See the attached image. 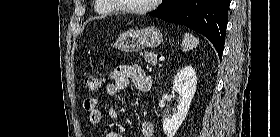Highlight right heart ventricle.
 I'll return each mask as SVG.
<instances>
[{"label":"right heart ventricle","mask_w":280,"mask_h":137,"mask_svg":"<svg viewBox=\"0 0 280 137\" xmlns=\"http://www.w3.org/2000/svg\"><path fill=\"white\" fill-rule=\"evenodd\" d=\"M94 11L101 17L108 16L113 12L107 4V0H95Z\"/></svg>","instance_id":"1"}]
</instances>
